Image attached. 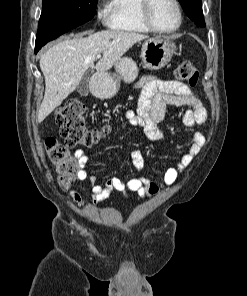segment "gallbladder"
Instances as JSON below:
<instances>
[{
    "label": "gallbladder",
    "mask_w": 247,
    "mask_h": 296,
    "mask_svg": "<svg viewBox=\"0 0 247 296\" xmlns=\"http://www.w3.org/2000/svg\"><path fill=\"white\" fill-rule=\"evenodd\" d=\"M89 81H90V74L87 72L82 77L80 83L77 86V92L81 96H87L89 93Z\"/></svg>",
    "instance_id": "gallbladder-1"
}]
</instances>
